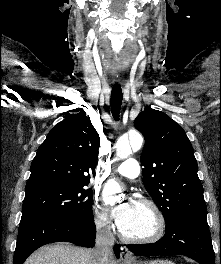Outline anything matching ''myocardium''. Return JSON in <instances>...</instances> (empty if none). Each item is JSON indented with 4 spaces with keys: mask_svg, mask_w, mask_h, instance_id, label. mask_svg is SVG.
Listing matches in <instances>:
<instances>
[{
    "mask_svg": "<svg viewBox=\"0 0 221 264\" xmlns=\"http://www.w3.org/2000/svg\"><path fill=\"white\" fill-rule=\"evenodd\" d=\"M136 202L146 205L152 211L156 219V230L152 235L147 237H130L126 235L121 228H119L121 239L125 242L133 244H151L159 241L164 236L166 231V219L162 210L156 202L148 197H139Z\"/></svg>",
    "mask_w": 221,
    "mask_h": 264,
    "instance_id": "1",
    "label": "myocardium"
}]
</instances>
